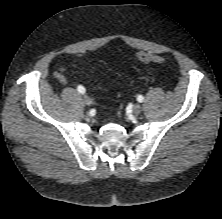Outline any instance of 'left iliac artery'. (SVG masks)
I'll use <instances>...</instances> for the list:
<instances>
[{"instance_id": "1", "label": "left iliac artery", "mask_w": 222, "mask_h": 219, "mask_svg": "<svg viewBox=\"0 0 222 219\" xmlns=\"http://www.w3.org/2000/svg\"><path fill=\"white\" fill-rule=\"evenodd\" d=\"M137 100H138L139 102H143L144 97H143L142 95H139V96L137 97Z\"/></svg>"}]
</instances>
